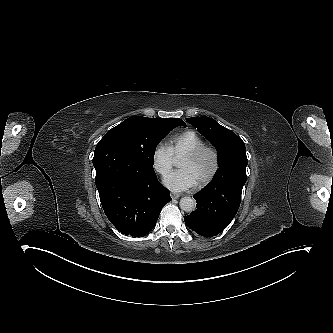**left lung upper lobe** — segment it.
<instances>
[{
	"label": "left lung upper lobe",
	"mask_w": 333,
	"mask_h": 333,
	"mask_svg": "<svg viewBox=\"0 0 333 333\" xmlns=\"http://www.w3.org/2000/svg\"><path fill=\"white\" fill-rule=\"evenodd\" d=\"M186 121L216 147L220 166L213 177L214 181L221 180L229 184L246 177V149L239 136L209 117H192Z\"/></svg>",
	"instance_id": "obj_1"
}]
</instances>
